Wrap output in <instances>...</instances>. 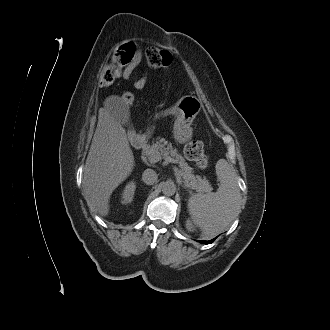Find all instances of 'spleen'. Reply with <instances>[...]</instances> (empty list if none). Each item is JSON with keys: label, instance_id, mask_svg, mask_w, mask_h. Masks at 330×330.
Here are the masks:
<instances>
[{"label": "spleen", "instance_id": "3e777b00", "mask_svg": "<svg viewBox=\"0 0 330 330\" xmlns=\"http://www.w3.org/2000/svg\"><path fill=\"white\" fill-rule=\"evenodd\" d=\"M215 169L220 181L218 190L207 194L197 193L188 200L189 214L206 238L223 232L239 209L237 173L225 159H219Z\"/></svg>", "mask_w": 330, "mask_h": 330}]
</instances>
